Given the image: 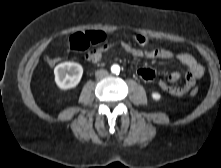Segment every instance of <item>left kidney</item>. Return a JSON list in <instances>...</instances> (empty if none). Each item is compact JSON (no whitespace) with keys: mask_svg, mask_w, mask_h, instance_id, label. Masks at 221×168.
<instances>
[{"mask_svg":"<svg viewBox=\"0 0 221 168\" xmlns=\"http://www.w3.org/2000/svg\"><path fill=\"white\" fill-rule=\"evenodd\" d=\"M152 99H154L155 101H159L161 99V95L157 92H153L151 94Z\"/></svg>","mask_w":221,"mask_h":168,"instance_id":"5707ae66","label":"left kidney"}]
</instances>
